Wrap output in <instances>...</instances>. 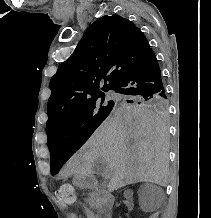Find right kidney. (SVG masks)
Returning a JSON list of instances; mask_svg holds the SVG:
<instances>
[{"instance_id": "obj_1", "label": "right kidney", "mask_w": 211, "mask_h": 218, "mask_svg": "<svg viewBox=\"0 0 211 218\" xmlns=\"http://www.w3.org/2000/svg\"><path fill=\"white\" fill-rule=\"evenodd\" d=\"M133 196V190H125L124 198H131Z\"/></svg>"}]
</instances>
